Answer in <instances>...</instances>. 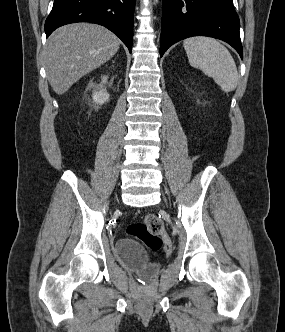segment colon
I'll return each instance as SVG.
<instances>
[{
  "label": "colon",
  "instance_id": "1",
  "mask_svg": "<svg viewBox=\"0 0 285 332\" xmlns=\"http://www.w3.org/2000/svg\"><path fill=\"white\" fill-rule=\"evenodd\" d=\"M126 231L152 251L163 249L167 254L172 251L171 242L165 235L164 224L154 214L146 215L142 222L130 224Z\"/></svg>",
  "mask_w": 285,
  "mask_h": 332
}]
</instances>
